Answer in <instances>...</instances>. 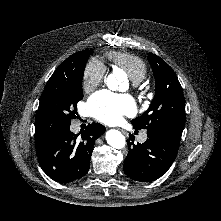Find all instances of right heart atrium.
Instances as JSON below:
<instances>
[{"mask_svg":"<svg viewBox=\"0 0 221 221\" xmlns=\"http://www.w3.org/2000/svg\"><path fill=\"white\" fill-rule=\"evenodd\" d=\"M106 76L104 64L97 58H91L82 72V87L86 92H91L103 83Z\"/></svg>","mask_w":221,"mask_h":221,"instance_id":"d8ad5b80","label":"right heart atrium"}]
</instances>
